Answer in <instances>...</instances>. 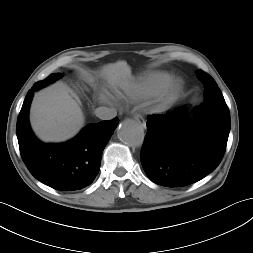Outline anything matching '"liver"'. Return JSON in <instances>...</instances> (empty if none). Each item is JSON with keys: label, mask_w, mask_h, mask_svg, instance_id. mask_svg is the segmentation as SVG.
Wrapping results in <instances>:
<instances>
[{"label": "liver", "mask_w": 253, "mask_h": 253, "mask_svg": "<svg viewBox=\"0 0 253 253\" xmlns=\"http://www.w3.org/2000/svg\"><path fill=\"white\" fill-rule=\"evenodd\" d=\"M126 61L108 64L101 70L111 85L130 76ZM64 83H55L38 92L32 102L30 122L36 135L45 142H61L73 137L84 124L79 103Z\"/></svg>", "instance_id": "6515ba94"}]
</instances>
